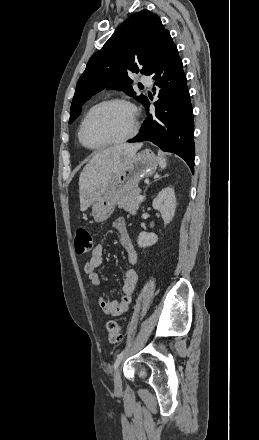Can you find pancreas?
<instances>
[{
    "instance_id": "obj_1",
    "label": "pancreas",
    "mask_w": 259,
    "mask_h": 440,
    "mask_svg": "<svg viewBox=\"0 0 259 440\" xmlns=\"http://www.w3.org/2000/svg\"><path fill=\"white\" fill-rule=\"evenodd\" d=\"M140 189L136 188L125 195L118 203V207L129 212L131 215H136L140 203L137 198L140 196Z\"/></svg>"
}]
</instances>
